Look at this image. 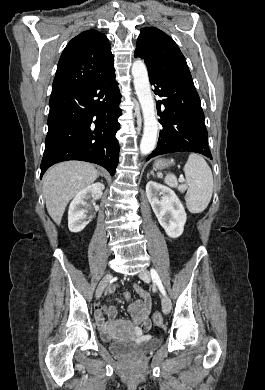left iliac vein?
Returning <instances> with one entry per match:
<instances>
[{
  "mask_svg": "<svg viewBox=\"0 0 265 390\" xmlns=\"http://www.w3.org/2000/svg\"><path fill=\"white\" fill-rule=\"evenodd\" d=\"M139 277L144 281V282H150L151 280V275L149 270L143 269L139 273ZM162 309L165 314H168L171 310V301L169 297L166 294H162Z\"/></svg>",
  "mask_w": 265,
  "mask_h": 390,
  "instance_id": "obj_1",
  "label": "left iliac vein"
}]
</instances>
